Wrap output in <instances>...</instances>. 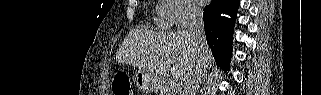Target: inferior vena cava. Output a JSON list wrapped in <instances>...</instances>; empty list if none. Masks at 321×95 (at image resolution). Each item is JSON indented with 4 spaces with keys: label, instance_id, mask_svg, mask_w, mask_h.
<instances>
[{
    "label": "inferior vena cava",
    "instance_id": "inferior-vena-cava-1",
    "mask_svg": "<svg viewBox=\"0 0 321 95\" xmlns=\"http://www.w3.org/2000/svg\"><path fill=\"white\" fill-rule=\"evenodd\" d=\"M187 28L198 49L197 66L194 71L188 75L179 95H196L200 83L206 72V62L204 58V48L207 45L202 11L196 6H189Z\"/></svg>",
    "mask_w": 321,
    "mask_h": 95
}]
</instances>
